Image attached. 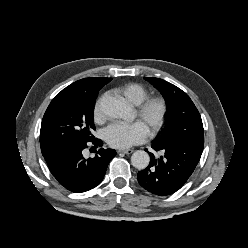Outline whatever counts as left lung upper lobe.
I'll return each mask as SVG.
<instances>
[{
    "instance_id": "obj_1",
    "label": "left lung upper lobe",
    "mask_w": 248,
    "mask_h": 248,
    "mask_svg": "<svg viewBox=\"0 0 248 248\" xmlns=\"http://www.w3.org/2000/svg\"><path fill=\"white\" fill-rule=\"evenodd\" d=\"M166 101L165 124L154 140L158 143L192 141L204 144L201 116L190 97L175 85L154 77H145Z\"/></svg>"
}]
</instances>
